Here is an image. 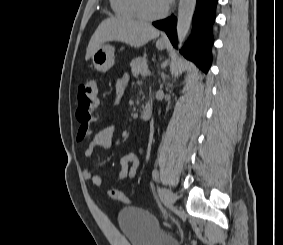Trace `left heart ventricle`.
Returning <instances> with one entry per match:
<instances>
[{
    "label": "left heart ventricle",
    "instance_id": "obj_1",
    "mask_svg": "<svg viewBox=\"0 0 283 245\" xmlns=\"http://www.w3.org/2000/svg\"><path fill=\"white\" fill-rule=\"evenodd\" d=\"M166 5V0H142V6L149 14H157L161 12Z\"/></svg>",
    "mask_w": 283,
    "mask_h": 245
}]
</instances>
